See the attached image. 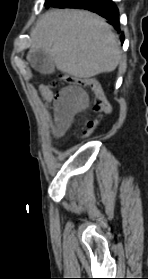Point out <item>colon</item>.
<instances>
[{
  "mask_svg": "<svg viewBox=\"0 0 148 279\" xmlns=\"http://www.w3.org/2000/svg\"><path fill=\"white\" fill-rule=\"evenodd\" d=\"M78 86L89 89L95 99V109L102 115H109L112 111V106L106 98L105 92L101 83L93 77L90 78H75L70 76H63L60 82H52L48 84H40L38 90L42 99L47 102H53L59 90L57 87L59 84ZM95 123L90 124V129L95 127Z\"/></svg>",
  "mask_w": 148,
  "mask_h": 279,
  "instance_id": "5ec220e1",
  "label": "colon"
}]
</instances>
